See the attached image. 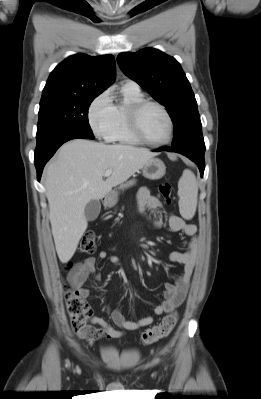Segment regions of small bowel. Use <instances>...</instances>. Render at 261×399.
Returning a JSON list of instances; mask_svg holds the SVG:
<instances>
[{
	"instance_id": "small-bowel-1",
	"label": "small bowel",
	"mask_w": 261,
	"mask_h": 399,
	"mask_svg": "<svg viewBox=\"0 0 261 399\" xmlns=\"http://www.w3.org/2000/svg\"><path fill=\"white\" fill-rule=\"evenodd\" d=\"M137 209L140 214L145 215L147 212L154 214V218H150L151 223L154 227H160L163 223L161 217L157 215L158 210L162 207L161 202L157 197L151 194L150 190L146 187L141 188L137 193ZM168 227L173 232H181L190 239L186 241V250L184 252L174 251L170 254L169 258L172 262L180 263L183 265V272L177 279L176 284H165L164 299L159 303L154 313L156 315H162L169 313L182 304L184 301L192 273L195 268L196 259L198 256L199 245L198 240L195 236L196 227L191 223L185 222L177 214H169L167 217ZM98 260H109L113 264L121 262V258L117 254H111L105 250L98 252L97 257H89L79 263H77L68 273V281L70 285L79 292L83 299H86L91 294V289L85 287L84 284L87 279L95 272L96 261ZM99 279V276H96ZM110 314L113 322L122 330L114 328L106 320L101 317L94 316L91 319V326H88L86 336H79L80 338L94 342L96 340L106 339H117L123 336L124 331H133L144 328L153 323V317L147 316L138 321L127 319L120 309H114L113 311L107 310Z\"/></svg>"
}]
</instances>
